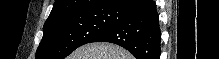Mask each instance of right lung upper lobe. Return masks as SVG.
<instances>
[{
  "label": "right lung upper lobe",
  "mask_w": 219,
  "mask_h": 59,
  "mask_svg": "<svg viewBox=\"0 0 219 59\" xmlns=\"http://www.w3.org/2000/svg\"><path fill=\"white\" fill-rule=\"evenodd\" d=\"M121 1L122 0H56L47 21L66 15L112 9Z\"/></svg>",
  "instance_id": "cb5924a9"
}]
</instances>
